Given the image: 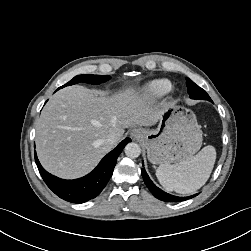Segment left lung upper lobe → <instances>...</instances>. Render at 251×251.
<instances>
[{
	"label": "left lung upper lobe",
	"mask_w": 251,
	"mask_h": 251,
	"mask_svg": "<svg viewBox=\"0 0 251 251\" xmlns=\"http://www.w3.org/2000/svg\"><path fill=\"white\" fill-rule=\"evenodd\" d=\"M186 85H187V91L192 99L197 100H208L210 102H213L209 95L206 93L205 90H203L201 87L196 85L192 80L189 78H186Z\"/></svg>",
	"instance_id": "1"
}]
</instances>
